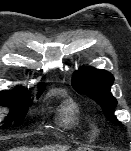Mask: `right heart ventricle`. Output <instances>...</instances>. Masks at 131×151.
I'll return each mask as SVG.
<instances>
[{
    "label": "right heart ventricle",
    "mask_w": 131,
    "mask_h": 151,
    "mask_svg": "<svg viewBox=\"0 0 131 151\" xmlns=\"http://www.w3.org/2000/svg\"><path fill=\"white\" fill-rule=\"evenodd\" d=\"M77 119V110L74 105H69L64 113L63 121L67 124H72Z\"/></svg>",
    "instance_id": "1"
}]
</instances>
